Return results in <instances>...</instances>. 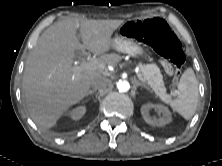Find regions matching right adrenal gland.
Instances as JSON below:
<instances>
[{"label":"right adrenal gland","mask_w":222,"mask_h":166,"mask_svg":"<svg viewBox=\"0 0 222 166\" xmlns=\"http://www.w3.org/2000/svg\"><path fill=\"white\" fill-rule=\"evenodd\" d=\"M96 91L95 90H89L86 94V96H89L90 94H94Z\"/></svg>","instance_id":"2a0ac1e0"}]
</instances>
